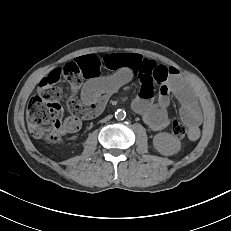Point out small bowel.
<instances>
[{
  "mask_svg": "<svg viewBox=\"0 0 231 231\" xmlns=\"http://www.w3.org/2000/svg\"><path fill=\"white\" fill-rule=\"evenodd\" d=\"M61 74L69 81L72 91L68 101L71 115L64 124L66 132H77L83 120L99 115L107 99L137 77L141 87L132 109L152 130L159 131L169 125V95L174 94L181 104V118L188 126V138L196 140L200 135V109L183 77L173 67L132 53L90 54L52 71L44 81L54 83ZM156 87L159 96L154 102Z\"/></svg>",
  "mask_w": 231,
  "mask_h": 231,
  "instance_id": "obj_1",
  "label": "small bowel"
}]
</instances>
